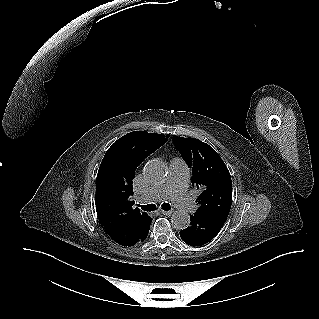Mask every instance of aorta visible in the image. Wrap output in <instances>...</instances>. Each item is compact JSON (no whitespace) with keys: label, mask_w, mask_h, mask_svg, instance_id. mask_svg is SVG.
I'll use <instances>...</instances> for the list:
<instances>
[{"label":"aorta","mask_w":319,"mask_h":319,"mask_svg":"<svg viewBox=\"0 0 319 319\" xmlns=\"http://www.w3.org/2000/svg\"><path fill=\"white\" fill-rule=\"evenodd\" d=\"M167 173L166 164L158 159L148 161L144 167V175L151 182L163 180ZM171 223L176 229H185L190 225V217L185 211H176L171 216Z\"/></svg>","instance_id":"762f6f07"}]
</instances>
